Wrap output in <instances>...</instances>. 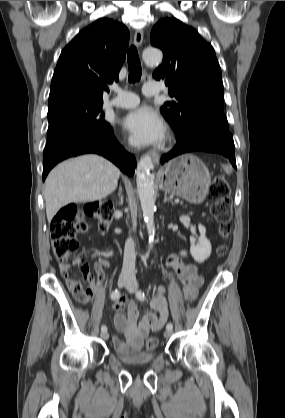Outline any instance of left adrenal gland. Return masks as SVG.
I'll return each mask as SVG.
<instances>
[{
    "instance_id": "left-adrenal-gland-1",
    "label": "left adrenal gland",
    "mask_w": 285,
    "mask_h": 418,
    "mask_svg": "<svg viewBox=\"0 0 285 418\" xmlns=\"http://www.w3.org/2000/svg\"><path fill=\"white\" fill-rule=\"evenodd\" d=\"M166 202H170L172 205H174L172 199L167 197V194L164 195V203H166Z\"/></svg>"
}]
</instances>
